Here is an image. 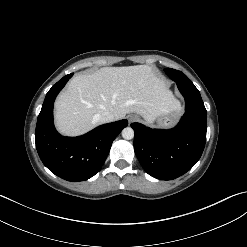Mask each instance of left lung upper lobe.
<instances>
[{
    "instance_id": "1",
    "label": "left lung upper lobe",
    "mask_w": 247,
    "mask_h": 247,
    "mask_svg": "<svg viewBox=\"0 0 247 247\" xmlns=\"http://www.w3.org/2000/svg\"><path fill=\"white\" fill-rule=\"evenodd\" d=\"M164 71L174 81H177L178 79H182V80H185V81H190L188 79V77L184 73H182L181 71H178V70H175V69H171V68H166Z\"/></svg>"
}]
</instances>
